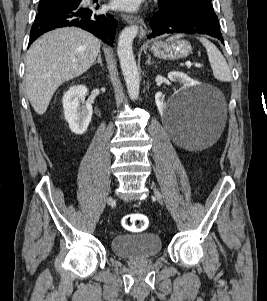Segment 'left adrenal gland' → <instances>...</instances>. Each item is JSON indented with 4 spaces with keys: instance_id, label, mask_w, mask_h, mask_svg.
Listing matches in <instances>:
<instances>
[{
    "instance_id": "a2214340",
    "label": "left adrenal gland",
    "mask_w": 267,
    "mask_h": 301,
    "mask_svg": "<svg viewBox=\"0 0 267 301\" xmlns=\"http://www.w3.org/2000/svg\"><path fill=\"white\" fill-rule=\"evenodd\" d=\"M154 62H151V56L150 55H148V60L146 61V64L147 65H151V64H153Z\"/></svg>"
}]
</instances>
